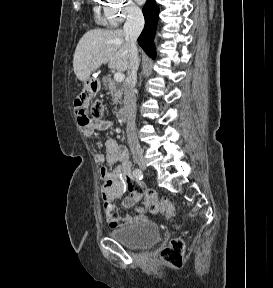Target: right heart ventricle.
Masks as SVG:
<instances>
[{
	"instance_id": "right-heart-ventricle-1",
	"label": "right heart ventricle",
	"mask_w": 273,
	"mask_h": 288,
	"mask_svg": "<svg viewBox=\"0 0 273 288\" xmlns=\"http://www.w3.org/2000/svg\"><path fill=\"white\" fill-rule=\"evenodd\" d=\"M95 11H96L97 19H98L99 21H102V18L100 17V15H99V13H98V10L96 9Z\"/></svg>"
}]
</instances>
